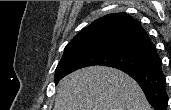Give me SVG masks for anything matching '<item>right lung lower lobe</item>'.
<instances>
[{"label": "right lung lower lobe", "mask_w": 171, "mask_h": 110, "mask_svg": "<svg viewBox=\"0 0 171 110\" xmlns=\"http://www.w3.org/2000/svg\"><path fill=\"white\" fill-rule=\"evenodd\" d=\"M142 88L148 102L155 110H167L168 97L166 94L165 77L161 71V59L149 67L142 70H124Z\"/></svg>", "instance_id": "98d812e1"}]
</instances>
